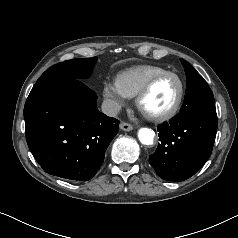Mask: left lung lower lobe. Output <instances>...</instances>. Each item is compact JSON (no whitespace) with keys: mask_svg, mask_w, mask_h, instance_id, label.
<instances>
[{"mask_svg":"<svg viewBox=\"0 0 238 238\" xmlns=\"http://www.w3.org/2000/svg\"><path fill=\"white\" fill-rule=\"evenodd\" d=\"M217 127L216 110L176 116L158 126L160 143L149 163L162 179L190 178L210 157Z\"/></svg>","mask_w":238,"mask_h":238,"instance_id":"obj_1","label":"left lung lower lobe"}]
</instances>
